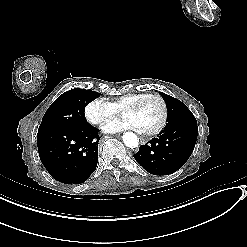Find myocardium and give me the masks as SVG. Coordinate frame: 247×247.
Segmentation results:
<instances>
[{"mask_svg": "<svg viewBox=\"0 0 247 247\" xmlns=\"http://www.w3.org/2000/svg\"><path fill=\"white\" fill-rule=\"evenodd\" d=\"M150 98H156L158 99L161 103H162V106H163V115H162V120H161V123L160 125L153 129V130H150V131H144L147 135H157L159 134L165 127L166 123H167V120H168V116H169V107H168V103L166 101V99L160 95V94H157V93H151V94H144L142 95L141 97L135 99L133 101V103L129 106L130 107V110L131 111H136L139 109L140 105L142 104V102L146 99H150Z\"/></svg>", "mask_w": 247, "mask_h": 247, "instance_id": "myocardium-1", "label": "myocardium"}]
</instances>
